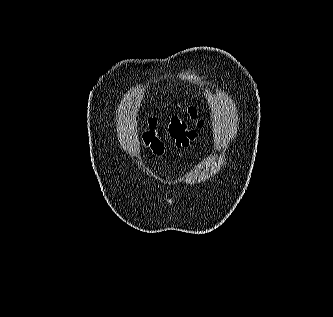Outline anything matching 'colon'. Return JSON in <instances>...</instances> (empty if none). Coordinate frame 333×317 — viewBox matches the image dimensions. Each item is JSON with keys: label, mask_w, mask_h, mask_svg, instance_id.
<instances>
[{"label": "colon", "mask_w": 333, "mask_h": 317, "mask_svg": "<svg viewBox=\"0 0 333 317\" xmlns=\"http://www.w3.org/2000/svg\"><path fill=\"white\" fill-rule=\"evenodd\" d=\"M197 110L191 106L187 110L186 116H173L168 126L169 136L173 139L177 147L189 145L196 136L195 127H200L202 122L198 120ZM194 126H191V124ZM156 120L149 118V130L144 134V141L155 154H162L165 150L164 143L156 136Z\"/></svg>", "instance_id": "obj_1"}]
</instances>
